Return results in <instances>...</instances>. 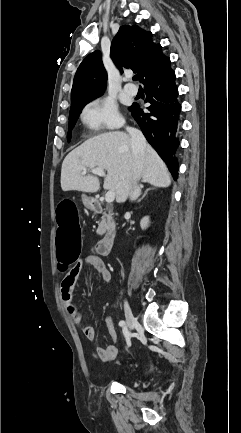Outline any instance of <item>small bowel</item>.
<instances>
[{
    "instance_id": "obj_1",
    "label": "small bowel",
    "mask_w": 241,
    "mask_h": 433,
    "mask_svg": "<svg viewBox=\"0 0 241 433\" xmlns=\"http://www.w3.org/2000/svg\"><path fill=\"white\" fill-rule=\"evenodd\" d=\"M84 266L93 267L98 272L100 278L105 282H108L111 279V273L107 265L97 253L96 247H94L90 254H88L83 260L76 262L75 265H73L72 270L67 271L62 280L60 291L61 299L68 315L80 328L83 336L87 340L93 341L95 339V329L91 325H88L84 322L83 317L77 309L76 305L74 304L72 298V291L74 285ZM104 324L106 326L109 336L114 342H116L117 332L112 317H105ZM117 352L118 349L115 344H109L105 347H97L96 349V354L102 362H109L114 360L117 356Z\"/></svg>"
}]
</instances>
